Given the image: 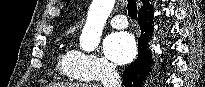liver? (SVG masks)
I'll list each match as a JSON object with an SVG mask.
<instances>
[{"label":"liver","instance_id":"liver-1","mask_svg":"<svg viewBox=\"0 0 205 87\" xmlns=\"http://www.w3.org/2000/svg\"><path fill=\"white\" fill-rule=\"evenodd\" d=\"M50 87H100V86L95 84L61 83V84H52Z\"/></svg>","mask_w":205,"mask_h":87}]
</instances>
